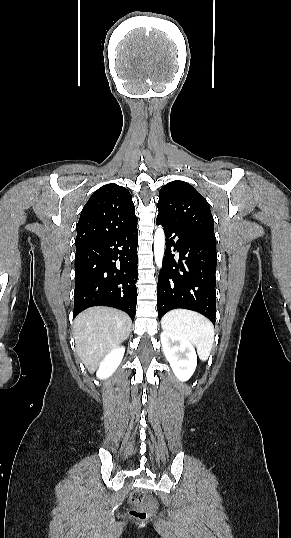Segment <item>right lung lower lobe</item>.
Masks as SVG:
<instances>
[{
  "mask_svg": "<svg viewBox=\"0 0 291 538\" xmlns=\"http://www.w3.org/2000/svg\"><path fill=\"white\" fill-rule=\"evenodd\" d=\"M137 225L107 239L77 247L73 317L97 305L114 307L135 317L137 290Z\"/></svg>",
  "mask_w": 291,
  "mask_h": 538,
  "instance_id": "obj_1",
  "label": "right lung lower lobe"
}]
</instances>
